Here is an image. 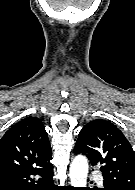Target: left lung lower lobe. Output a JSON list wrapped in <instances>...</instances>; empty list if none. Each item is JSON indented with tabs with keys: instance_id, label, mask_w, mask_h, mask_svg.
I'll return each instance as SVG.
<instances>
[{
	"instance_id": "left-lung-lower-lobe-1",
	"label": "left lung lower lobe",
	"mask_w": 135,
	"mask_h": 190,
	"mask_svg": "<svg viewBox=\"0 0 135 190\" xmlns=\"http://www.w3.org/2000/svg\"><path fill=\"white\" fill-rule=\"evenodd\" d=\"M103 190H112V189L105 187Z\"/></svg>"
}]
</instances>
